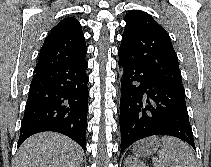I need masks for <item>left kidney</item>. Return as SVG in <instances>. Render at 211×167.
<instances>
[{
    "label": "left kidney",
    "mask_w": 211,
    "mask_h": 167,
    "mask_svg": "<svg viewBox=\"0 0 211 167\" xmlns=\"http://www.w3.org/2000/svg\"><path fill=\"white\" fill-rule=\"evenodd\" d=\"M124 167H147L143 162L137 158L128 156L125 160Z\"/></svg>",
    "instance_id": "left-kidney-1"
}]
</instances>
